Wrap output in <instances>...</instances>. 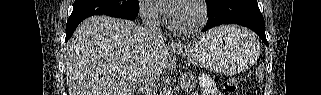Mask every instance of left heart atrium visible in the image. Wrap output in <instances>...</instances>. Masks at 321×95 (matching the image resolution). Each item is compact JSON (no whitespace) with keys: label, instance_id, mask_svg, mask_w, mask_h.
I'll return each mask as SVG.
<instances>
[{"label":"left heart atrium","instance_id":"1","mask_svg":"<svg viewBox=\"0 0 321 95\" xmlns=\"http://www.w3.org/2000/svg\"><path fill=\"white\" fill-rule=\"evenodd\" d=\"M161 6V10L168 16H175L181 9L180 5H176L179 0H157ZM183 1H181L182 3Z\"/></svg>","mask_w":321,"mask_h":95}]
</instances>
